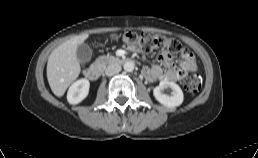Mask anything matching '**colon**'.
<instances>
[{"mask_svg": "<svg viewBox=\"0 0 258 158\" xmlns=\"http://www.w3.org/2000/svg\"><path fill=\"white\" fill-rule=\"evenodd\" d=\"M127 47L150 53H168L184 55L188 51L175 39L158 34L126 32L116 36ZM202 87L199 75H192L184 81V88L189 93H197Z\"/></svg>", "mask_w": 258, "mask_h": 158, "instance_id": "5ec220e1", "label": "colon"}]
</instances>
